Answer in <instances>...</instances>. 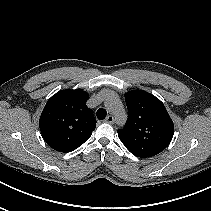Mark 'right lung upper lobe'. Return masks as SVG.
<instances>
[{
    "label": "right lung upper lobe",
    "instance_id": "right-lung-upper-lobe-1",
    "mask_svg": "<svg viewBox=\"0 0 211 211\" xmlns=\"http://www.w3.org/2000/svg\"><path fill=\"white\" fill-rule=\"evenodd\" d=\"M82 89L61 90L46 103L39 128L46 143L56 151L71 152L89 139L96 127Z\"/></svg>",
    "mask_w": 211,
    "mask_h": 211
}]
</instances>
